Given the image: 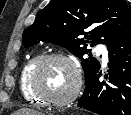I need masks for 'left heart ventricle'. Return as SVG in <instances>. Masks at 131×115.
<instances>
[{"instance_id": "left-heart-ventricle-1", "label": "left heart ventricle", "mask_w": 131, "mask_h": 115, "mask_svg": "<svg viewBox=\"0 0 131 115\" xmlns=\"http://www.w3.org/2000/svg\"><path fill=\"white\" fill-rule=\"evenodd\" d=\"M40 89L52 98H64L73 89L75 74L64 61H52L41 71L38 79Z\"/></svg>"}]
</instances>
